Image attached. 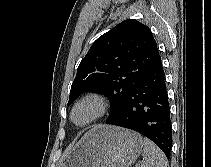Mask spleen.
<instances>
[{"instance_id":"1","label":"spleen","mask_w":211,"mask_h":167,"mask_svg":"<svg viewBox=\"0 0 211 167\" xmlns=\"http://www.w3.org/2000/svg\"><path fill=\"white\" fill-rule=\"evenodd\" d=\"M141 167H167L164 153L147 138L143 140Z\"/></svg>"}]
</instances>
